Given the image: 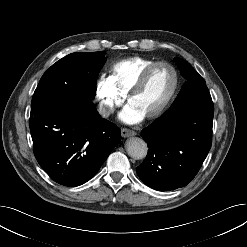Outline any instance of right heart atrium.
<instances>
[{
  "label": "right heart atrium",
  "instance_id": "right-heart-atrium-1",
  "mask_svg": "<svg viewBox=\"0 0 247 247\" xmlns=\"http://www.w3.org/2000/svg\"><path fill=\"white\" fill-rule=\"evenodd\" d=\"M94 97L97 103L99 114L108 118L122 106L125 97L118 93L108 78L100 77L94 85Z\"/></svg>",
  "mask_w": 247,
  "mask_h": 247
}]
</instances>
